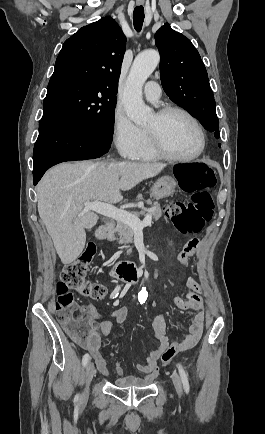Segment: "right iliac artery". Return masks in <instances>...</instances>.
<instances>
[{"label":"right iliac artery","instance_id":"right-iliac-artery-1","mask_svg":"<svg viewBox=\"0 0 265 434\" xmlns=\"http://www.w3.org/2000/svg\"><path fill=\"white\" fill-rule=\"evenodd\" d=\"M119 291H120V286H117V287L114 289V291L111 293L110 298H111V299L116 298V297L118 296V294H119ZM89 360H90V356H89L88 353H86V354L83 356V358H82V364H83L84 367L87 365V363L89 362ZM78 400H79V394H77V395L75 396V401H78Z\"/></svg>","mask_w":265,"mask_h":434}]
</instances>
